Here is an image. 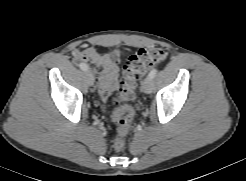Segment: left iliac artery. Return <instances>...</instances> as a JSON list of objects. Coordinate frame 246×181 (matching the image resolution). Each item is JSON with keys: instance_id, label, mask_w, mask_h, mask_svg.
Segmentation results:
<instances>
[{"instance_id": "1", "label": "left iliac artery", "mask_w": 246, "mask_h": 181, "mask_svg": "<svg viewBox=\"0 0 246 181\" xmlns=\"http://www.w3.org/2000/svg\"><path fill=\"white\" fill-rule=\"evenodd\" d=\"M157 74V69H152L149 73V77H151L152 79L156 76Z\"/></svg>"}]
</instances>
